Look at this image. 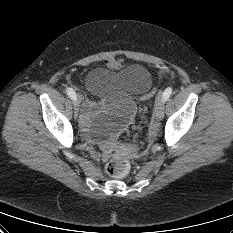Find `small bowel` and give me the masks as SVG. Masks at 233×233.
Here are the masks:
<instances>
[{
    "label": "small bowel",
    "mask_w": 233,
    "mask_h": 233,
    "mask_svg": "<svg viewBox=\"0 0 233 233\" xmlns=\"http://www.w3.org/2000/svg\"><path fill=\"white\" fill-rule=\"evenodd\" d=\"M94 109V104L92 102H87L84 107L83 120L86 121Z\"/></svg>",
    "instance_id": "c3829d8e"
}]
</instances>
